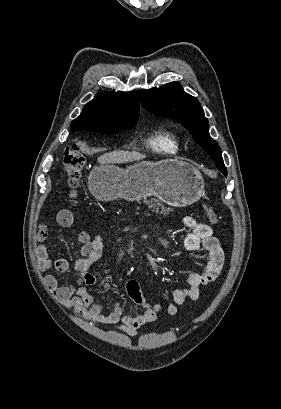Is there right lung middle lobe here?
<instances>
[{
  "label": "right lung middle lobe",
  "instance_id": "obj_1",
  "mask_svg": "<svg viewBox=\"0 0 281 409\" xmlns=\"http://www.w3.org/2000/svg\"><path fill=\"white\" fill-rule=\"evenodd\" d=\"M133 126L134 125L123 126V127H83V128H79L78 130H88V131H93V132H98V133H117L119 131L130 129Z\"/></svg>",
  "mask_w": 281,
  "mask_h": 409
}]
</instances>
